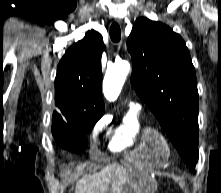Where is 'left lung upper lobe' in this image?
<instances>
[{
    "label": "left lung upper lobe",
    "mask_w": 221,
    "mask_h": 193,
    "mask_svg": "<svg viewBox=\"0 0 221 193\" xmlns=\"http://www.w3.org/2000/svg\"><path fill=\"white\" fill-rule=\"evenodd\" d=\"M131 84L168 134L188 167L198 160V90L195 69L179 34L148 18L135 21L127 40Z\"/></svg>",
    "instance_id": "obj_1"
}]
</instances>
